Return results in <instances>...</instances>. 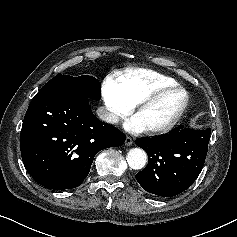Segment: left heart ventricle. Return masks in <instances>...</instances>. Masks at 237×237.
Here are the masks:
<instances>
[{"mask_svg": "<svg viewBox=\"0 0 237 237\" xmlns=\"http://www.w3.org/2000/svg\"><path fill=\"white\" fill-rule=\"evenodd\" d=\"M184 101V94L176 91L169 93L154 104L147 106L136 114L145 128L160 126L175 115Z\"/></svg>", "mask_w": 237, "mask_h": 237, "instance_id": "left-heart-ventricle-1", "label": "left heart ventricle"}]
</instances>
